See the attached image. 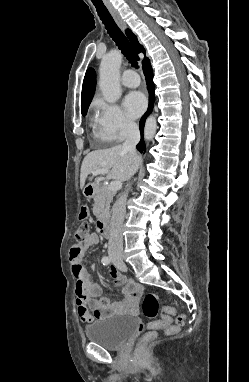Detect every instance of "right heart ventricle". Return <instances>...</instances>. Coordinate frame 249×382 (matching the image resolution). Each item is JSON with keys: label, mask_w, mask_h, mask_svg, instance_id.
Segmentation results:
<instances>
[{"label": "right heart ventricle", "mask_w": 249, "mask_h": 382, "mask_svg": "<svg viewBox=\"0 0 249 382\" xmlns=\"http://www.w3.org/2000/svg\"><path fill=\"white\" fill-rule=\"evenodd\" d=\"M96 134H97L100 138L105 139V138L102 136V134H101V132H100L99 129L96 130ZM105 140H106V139H105Z\"/></svg>", "instance_id": "right-heart-ventricle-1"}]
</instances>
